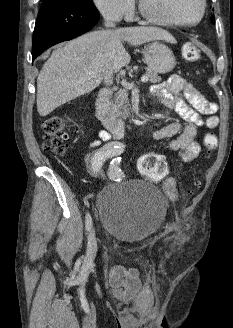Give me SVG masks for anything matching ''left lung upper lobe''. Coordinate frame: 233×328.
I'll list each match as a JSON object with an SVG mask.
<instances>
[{
  "label": "left lung upper lobe",
  "instance_id": "left-lung-upper-lobe-1",
  "mask_svg": "<svg viewBox=\"0 0 233 328\" xmlns=\"http://www.w3.org/2000/svg\"><path fill=\"white\" fill-rule=\"evenodd\" d=\"M211 21H212V23H214V17L213 16L211 17Z\"/></svg>",
  "mask_w": 233,
  "mask_h": 328
}]
</instances>
